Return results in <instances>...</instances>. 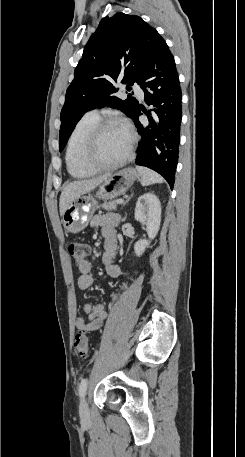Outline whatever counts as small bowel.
Masks as SVG:
<instances>
[{"mask_svg":"<svg viewBox=\"0 0 245 457\" xmlns=\"http://www.w3.org/2000/svg\"><path fill=\"white\" fill-rule=\"evenodd\" d=\"M119 224V216L114 213L98 214L92 219V226L101 229L102 236L105 239L106 251L102 257V262L105 266L106 273L110 277H120L125 273L115 264V247H116V227ZM79 277L77 280L78 287L81 290L89 289L93 284V278L90 274L91 264L88 260L78 263ZM136 272L129 273L127 278L121 284L120 290L112 296V301L116 300L120 293L127 289L130 283L134 280ZM83 309L87 314V319L77 317L75 325L79 330L95 331L98 330L104 323L107 317L106 306L100 302L96 305L88 303L83 304Z\"/></svg>","mask_w":245,"mask_h":457,"instance_id":"c3829d8e","label":"small bowel"}]
</instances>
